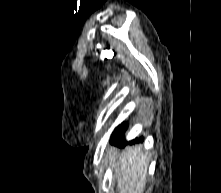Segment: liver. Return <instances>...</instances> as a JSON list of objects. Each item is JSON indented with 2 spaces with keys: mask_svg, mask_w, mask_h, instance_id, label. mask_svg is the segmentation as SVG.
I'll list each match as a JSON object with an SVG mask.
<instances>
[{
  "mask_svg": "<svg viewBox=\"0 0 221 193\" xmlns=\"http://www.w3.org/2000/svg\"><path fill=\"white\" fill-rule=\"evenodd\" d=\"M117 180L118 193H143L146 187L149 156L143 151L142 145L128 147L116 160L117 151H108Z\"/></svg>",
  "mask_w": 221,
  "mask_h": 193,
  "instance_id": "obj_1",
  "label": "liver"
}]
</instances>
